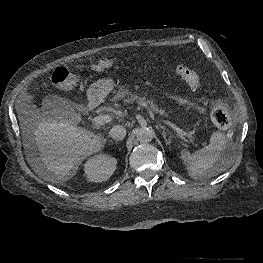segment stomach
Masks as SVG:
<instances>
[{
  "instance_id": "stomach-1",
  "label": "stomach",
  "mask_w": 263,
  "mask_h": 263,
  "mask_svg": "<svg viewBox=\"0 0 263 263\" xmlns=\"http://www.w3.org/2000/svg\"><path fill=\"white\" fill-rule=\"evenodd\" d=\"M114 81L111 78H102L93 83L88 91L87 97L90 102H96L104 99L114 88ZM116 99L119 97L116 94Z\"/></svg>"
}]
</instances>
